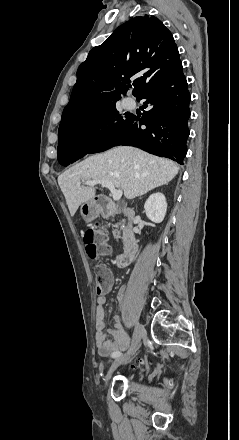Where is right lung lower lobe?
<instances>
[{"instance_id":"right-lung-lower-lobe-1","label":"right lung lower lobe","mask_w":239,"mask_h":440,"mask_svg":"<svg viewBox=\"0 0 239 440\" xmlns=\"http://www.w3.org/2000/svg\"><path fill=\"white\" fill-rule=\"evenodd\" d=\"M136 98L146 100L145 107H149L141 118L131 114L119 128L92 144L62 147L58 150L59 163L67 166L86 154L101 152L117 145H129L183 164L187 153L191 96L181 61Z\"/></svg>"}]
</instances>
